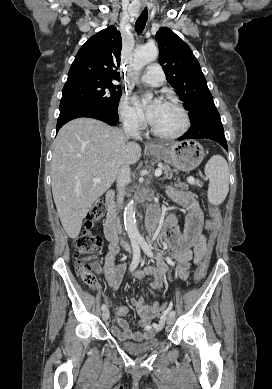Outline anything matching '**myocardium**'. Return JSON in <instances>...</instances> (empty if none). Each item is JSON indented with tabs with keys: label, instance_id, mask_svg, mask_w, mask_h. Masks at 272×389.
<instances>
[{
	"label": "myocardium",
	"instance_id": "myocardium-1",
	"mask_svg": "<svg viewBox=\"0 0 272 389\" xmlns=\"http://www.w3.org/2000/svg\"><path fill=\"white\" fill-rule=\"evenodd\" d=\"M164 104L170 105V106L176 108L180 112V114L182 116V120H183L182 125L177 131H175L173 133H164V132H161V131H158L157 129H155V127L151 123L150 124L151 132L155 136L162 138V139L170 140V139L179 138L182 135H184L190 127V117H189L188 111L180 102H178L177 100H174V99H166L164 101Z\"/></svg>",
	"mask_w": 272,
	"mask_h": 389
}]
</instances>
